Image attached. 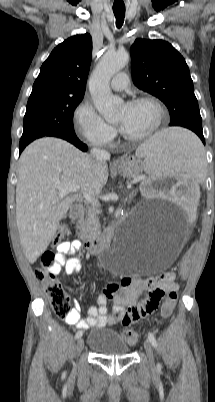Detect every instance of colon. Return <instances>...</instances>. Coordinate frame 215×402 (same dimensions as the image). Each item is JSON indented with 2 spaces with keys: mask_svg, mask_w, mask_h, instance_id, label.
I'll use <instances>...</instances> for the list:
<instances>
[{
  "mask_svg": "<svg viewBox=\"0 0 215 402\" xmlns=\"http://www.w3.org/2000/svg\"><path fill=\"white\" fill-rule=\"evenodd\" d=\"M66 230L64 227H60L57 230V233L53 239V244H57L61 241V239L65 236ZM198 249L197 243H191L185 247L184 258L188 260H197L198 252L195 251ZM55 254L52 250H46L39 258L38 267L36 269V278L41 283L45 292L47 293L51 307L54 313L57 316L64 317L70 311L69 307V298L68 295L63 290L61 284L56 279V275L50 271V268L55 264ZM186 268L183 267V273H185ZM173 273L167 272L160 277H171ZM165 292L157 291L154 295V300L151 304H149L145 311L148 313H152L156 307L158 306L160 300L163 298ZM177 293L176 290L170 289L167 291L166 301L162 308V315L167 316L171 313L174 303L176 301ZM122 337L126 340L127 343L134 344L138 341L139 335L135 330L126 329L122 332Z\"/></svg>",
  "mask_w": 215,
  "mask_h": 402,
  "instance_id": "1",
  "label": "colon"
}]
</instances>
